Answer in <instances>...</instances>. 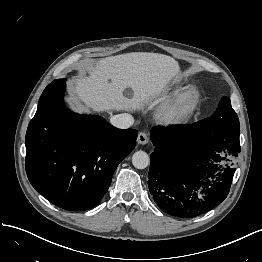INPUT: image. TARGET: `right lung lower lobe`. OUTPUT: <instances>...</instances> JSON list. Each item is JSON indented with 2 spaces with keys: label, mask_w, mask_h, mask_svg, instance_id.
<instances>
[{
  "label": "right lung lower lobe",
  "mask_w": 262,
  "mask_h": 262,
  "mask_svg": "<svg viewBox=\"0 0 262 262\" xmlns=\"http://www.w3.org/2000/svg\"><path fill=\"white\" fill-rule=\"evenodd\" d=\"M65 87V82L51 83L39 99L26 133V172L51 203L82 211L105 195L118 164L134 149L138 132L69 111Z\"/></svg>",
  "instance_id": "1"
}]
</instances>
